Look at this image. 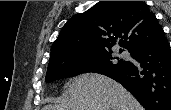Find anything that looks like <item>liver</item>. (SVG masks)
<instances>
[{"mask_svg": "<svg viewBox=\"0 0 171 110\" xmlns=\"http://www.w3.org/2000/svg\"><path fill=\"white\" fill-rule=\"evenodd\" d=\"M68 97L42 110H143L118 82L101 74H83L66 84Z\"/></svg>", "mask_w": 171, "mask_h": 110, "instance_id": "1", "label": "liver"}]
</instances>
